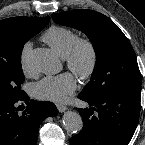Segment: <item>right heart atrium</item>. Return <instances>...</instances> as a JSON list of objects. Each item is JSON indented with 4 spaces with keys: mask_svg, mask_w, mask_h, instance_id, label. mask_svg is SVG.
Masks as SVG:
<instances>
[{
    "mask_svg": "<svg viewBox=\"0 0 145 145\" xmlns=\"http://www.w3.org/2000/svg\"><path fill=\"white\" fill-rule=\"evenodd\" d=\"M32 44L30 42H25L20 51V66L22 72L26 76H33L34 72L30 67V53Z\"/></svg>",
    "mask_w": 145,
    "mask_h": 145,
    "instance_id": "d8ad5b80",
    "label": "right heart atrium"
}]
</instances>
